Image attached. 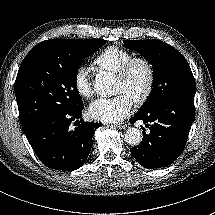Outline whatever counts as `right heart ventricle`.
Wrapping results in <instances>:
<instances>
[{
	"mask_svg": "<svg viewBox=\"0 0 215 215\" xmlns=\"http://www.w3.org/2000/svg\"><path fill=\"white\" fill-rule=\"evenodd\" d=\"M134 53L123 46L110 45L105 47L93 59L92 66L101 72L116 73Z\"/></svg>",
	"mask_w": 215,
	"mask_h": 215,
	"instance_id": "1",
	"label": "right heart ventricle"
}]
</instances>
